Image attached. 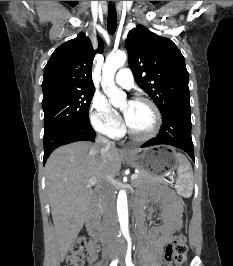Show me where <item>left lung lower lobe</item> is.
Wrapping results in <instances>:
<instances>
[{"label": "left lung lower lobe", "instance_id": "obj_1", "mask_svg": "<svg viewBox=\"0 0 233 266\" xmlns=\"http://www.w3.org/2000/svg\"><path fill=\"white\" fill-rule=\"evenodd\" d=\"M162 117L163 126L159 134L155 138L144 143L141 147L160 144L172 145L184 150L192 160H194L189 100H183L170 106Z\"/></svg>", "mask_w": 233, "mask_h": 266}]
</instances>
